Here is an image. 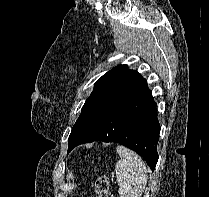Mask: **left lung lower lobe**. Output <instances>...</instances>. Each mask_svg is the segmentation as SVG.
I'll use <instances>...</instances> for the list:
<instances>
[{
	"mask_svg": "<svg viewBox=\"0 0 209 197\" xmlns=\"http://www.w3.org/2000/svg\"><path fill=\"white\" fill-rule=\"evenodd\" d=\"M159 132L156 103L142 79L110 104L69 151L94 141L116 142L136 151L154 171Z\"/></svg>",
	"mask_w": 209,
	"mask_h": 197,
	"instance_id": "0a47b994",
	"label": "left lung lower lobe"
}]
</instances>
